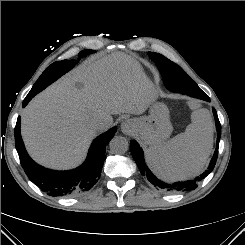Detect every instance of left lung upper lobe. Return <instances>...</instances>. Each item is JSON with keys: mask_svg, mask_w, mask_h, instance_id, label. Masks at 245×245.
<instances>
[{"mask_svg": "<svg viewBox=\"0 0 245 245\" xmlns=\"http://www.w3.org/2000/svg\"><path fill=\"white\" fill-rule=\"evenodd\" d=\"M148 55L159 68L164 84L168 89L183 86V84L187 82L191 88L198 86L196 82L183 71V69L163 55L154 52H148Z\"/></svg>", "mask_w": 245, "mask_h": 245, "instance_id": "5c2ea615", "label": "left lung upper lobe"}]
</instances>
